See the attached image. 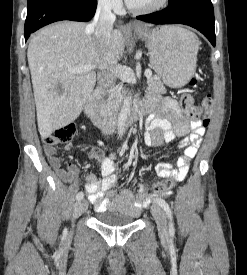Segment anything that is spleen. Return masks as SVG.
I'll use <instances>...</instances> for the list:
<instances>
[{"mask_svg":"<svg viewBox=\"0 0 247 275\" xmlns=\"http://www.w3.org/2000/svg\"><path fill=\"white\" fill-rule=\"evenodd\" d=\"M198 44H199L198 39H195V46H196V49H198Z\"/></svg>","mask_w":247,"mask_h":275,"instance_id":"3e777b00","label":"spleen"}]
</instances>
